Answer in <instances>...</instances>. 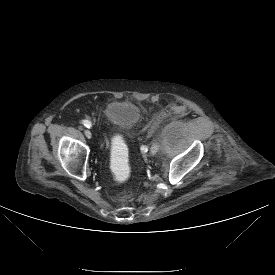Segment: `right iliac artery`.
<instances>
[{
  "label": "right iliac artery",
  "instance_id": "82829eb1",
  "mask_svg": "<svg viewBox=\"0 0 275 275\" xmlns=\"http://www.w3.org/2000/svg\"><path fill=\"white\" fill-rule=\"evenodd\" d=\"M82 124L84 125V126H86L87 128H90L92 125H91V122L90 121H88V120H82Z\"/></svg>",
  "mask_w": 275,
  "mask_h": 275
}]
</instances>
